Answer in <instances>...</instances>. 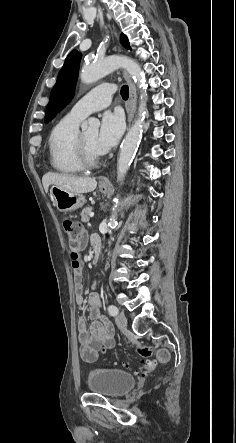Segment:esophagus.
I'll use <instances>...</instances> for the list:
<instances>
[{
  "instance_id": "1",
  "label": "esophagus",
  "mask_w": 236,
  "mask_h": 443,
  "mask_svg": "<svg viewBox=\"0 0 236 443\" xmlns=\"http://www.w3.org/2000/svg\"><path fill=\"white\" fill-rule=\"evenodd\" d=\"M112 33H113V36L115 38L118 37L117 32H116L114 27H113ZM122 73H123V76H124V78L126 79L128 85H129V93H130V103H131V106H130V110H129V113H128V123H129V126H130L131 121H132V119L134 117V114H135V111H136V102H137L136 88H135V85H134L132 79L128 75V73L125 70H122ZM108 183H109V179L107 177H101L100 184H108Z\"/></svg>"
}]
</instances>
